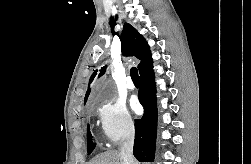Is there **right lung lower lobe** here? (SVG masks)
Wrapping results in <instances>:
<instances>
[{
  "label": "right lung lower lobe",
  "instance_id": "1",
  "mask_svg": "<svg viewBox=\"0 0 251 164\" xmlns=\"http://www.w3.org/2000/svg\"><path fill=\"white\" fill-rule=\"evenodd\" d=\"M138 93L144 107V115L135 120V143L133 154L139 162H153L157 130L156 88L153 66L140 73Z\"/></svg>",
  "mask_w": 251,
  "mask_h": 164
}]
</instances>
